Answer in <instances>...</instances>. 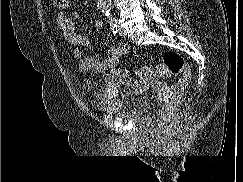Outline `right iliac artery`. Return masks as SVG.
Listing matches in <instances>:
<instances>
[{
  "instance_id": "obj_1",
  "label": "right iliac artery",
  "mask_w": 243,
  "mask_h": 182,
  "mask_svg": "<svg viewBox=\"0 0 243 182\" xmlns=\"http://www.w3.org/2000/svg\"><path fill=\"white\" fill-rule=\"evenodd\" d=\"M110 30H111L114 34H117V33H118V25H117V23H111V24H110Z\"/></svg>"
}]
</instances>
